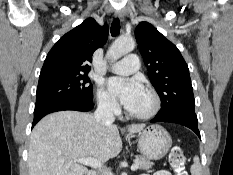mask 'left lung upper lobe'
Masks as SVG:
<instances>
[{"instance_id":"obj_1","label":"left lung upper lobe","mask_w":233,"mask_h":175,"mask_svg":"<svg viewBox=\"0 0 233 175\" xmlns=\"http://www.w3.org/2000/svg\"><path fill=\"white\" fill-rule=\"evenodd\" d=\"M135 36L149 79L161 98L157 115L194 111L189 69L177 47L147 22L136 27Z\"/></svg>"}]
</instances>
